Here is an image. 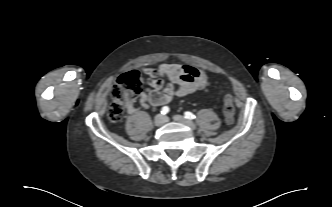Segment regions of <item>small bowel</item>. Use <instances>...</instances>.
<instances>
[{
  "label": "small bowel",
  "instance_id": "small-bowel-1",
  "mask_svg": "<svg viewBox=\"0 0 332 207\" xmlns=\"http://www.w3.org/2000/svg\"><path fill=\"white\" fill-rule=\"evenodd\" d=\"M143 72L149 77V89L143 91L140 97L143 108L161 106L173 97L207 91L210 87L207 73L190 65L165 63L157 68H144ZM130 111H135V108L130 107Z\"/></svg>",
  "mask_w": 332,
  "mask_h": 207
}]
</instances>
